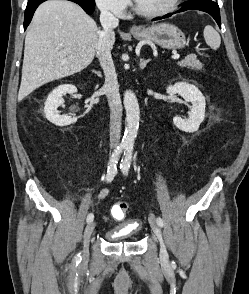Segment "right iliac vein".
<instances>
[{"label":"right iliac vein","instance_id":"63e3f726","mask_svg":"<svg viewBox=\"0 0 249 294\" xmlns=\"http://www.w3.org/2000/svg\"><path fill=\"white\" fill-rule=\"evenodd\" d=\"M95 222H89L84 231V240H83V252H82V260L83 262L88 261L89 258V243L92 236V233L95 229Z\"/></svg>","mask_w":249,"mask_h":294}]
</instances>
